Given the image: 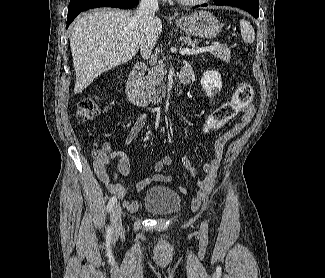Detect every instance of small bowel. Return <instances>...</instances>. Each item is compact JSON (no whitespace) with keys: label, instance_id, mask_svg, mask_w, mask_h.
<instances>
[{"label":"small bowel","instance_id":"obj_1","mask_svg":"<svg viewBox=\"0 0 325 278\" xmlns=\"http://www.w3.org/2000/svg\"><path fill=\"white\" fill-rule=\"evenodd\" d=\"M254 115V108L252 105H248L244 108L242 112L241 119L238 123L234 125V127L225 135L219 137L214 143V156L211 161L204 164L203 168L205 171V177L199 181V190L198 197H203L209 194L213 188L214 181L217 175L218 168L223 158L224 147L226 143L238 132H240L252 119ZM147 120L146 114L139 115L136 120L133 122L129 132L124 138V143L126 145L131 144L137 135L144 128ZM103 153L102 155L94 162V170L99 177V179L103 182L107 190L118 196L119 199L123 201L124 206L129 209H135L136 203L129 202L126 199V191L125 189L119 185L116 180L118 176L126 177L130 172V161L128 156L119 150H112L108 144H104L102 146ZM117 160V169L118 173L113 176L107 172V166L113 161ZM181 163L184 168L192 175L196 176L198 173V169L191 162V160L187 157L181 158ZM172 164V158L168 155L161 157L154 165L153 174L138 182L136 184V191H142L146 186H148L151 182H170L172 180L170 175L164 174L163 170ZM180 191L185 194L187 190L184 187L180 188Z\"/></svg>","mask_w":325,"mask_h":278}]
</instances>
